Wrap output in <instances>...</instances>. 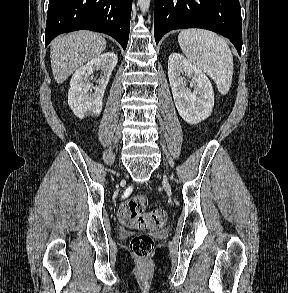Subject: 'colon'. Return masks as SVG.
Here are the masks:
<instances>
[{"label":"colon","mask_w":288,"mask_h":293,"mask_svg":"<svg viewBox=\"0 0 288 293\" xmlns=\"http://www.w3.org/2000/svg\"><path fill=\"white\" fill-rule=\"evenodd\" d=\"M145 205L146 198L141 195L124 201L119 208L120 221L138 230L162 227L167 220L166 212L161 209L144 212ZM153 246V240L148 235H137L131 240V251L138 258L148 257L152 253Z\"/></svg>","instance_id":"1"}]
</instances>
